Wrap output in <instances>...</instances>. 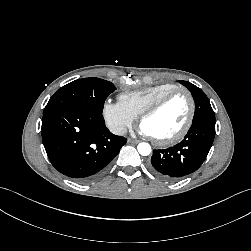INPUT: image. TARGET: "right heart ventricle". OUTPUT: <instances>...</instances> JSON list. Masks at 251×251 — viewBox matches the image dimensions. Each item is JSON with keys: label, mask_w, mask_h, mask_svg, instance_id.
I'll return each instance as SVG.
<instances>
[{"label": "right heart ventricle", "mask_w": 251, "mask_h": 251, "mask_svg": "<svg viewBox=\"0 0 251 251\" xmlns=\"http://www.w3.org/2000/svg\"><path fill=\"white\" fill-rule=\"evenodd\" d=\"M176 88V85L170 83L157 84L142 90L122 93L119 95V102L136 118L157 99Z\"/></svg>", "instance_id": "right-heart-ventricle-1"}]
</instances>
